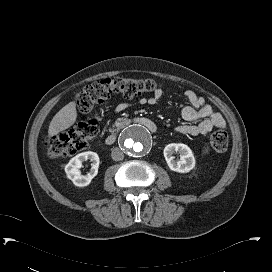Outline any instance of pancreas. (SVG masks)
<instances>
[{
    "instance_id": "obj_1",
    "label": "pancreas",
    "mask_w": 272,
    "mask_h": 272,
    "mask_svg": "<svg viewBox=\"0 0 272 272\" xmlns=\"http://www.w3.org/2000/svg\"><path fill=\"white\" fill-rule=\"evenodd\" d=\"M125 121H126V119H123V118L118 119L113 127H116V128L118 129V128H119V125H120L121 123L125 122Z\"/></svg>"
}]
</instances>
